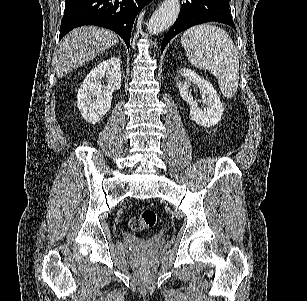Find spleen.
Returning <instances> with one entry per match:
<instances>
[{"label":"spleen","mask_w":307,"mask_h":301,"mask_svg":"<svg viewBox=\"0 0 307 301\" xmlns=\"http://www.w3.org/2000/svg\"><path fill=\"white\" fill-rule=\"evenodd\" d=\"M181 44L193 66L214 74L223 96H235L240 74L239 58L226 30L213 24H196L183 32Z\"/></svg>","instance_id":"3e777b00"}]
</instances>
